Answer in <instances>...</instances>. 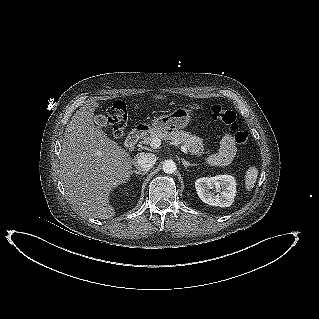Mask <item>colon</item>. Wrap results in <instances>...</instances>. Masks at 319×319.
Masks as SVG:
<instances>
[{"label": "colon", "mask_w": 319, "mask_h": 319, "mask_svg": "<svg viewBox=\"0 0 319 319\" xmlns=\"http://www.w3.org/2000/svg\"><path fill=\"white\" fill-rule=\"evenodd\" d=\"M208 115L229 127L234 133V141L240 147L248 149L250 140L247 131L240 130L234 111L221 107L220 105H212L208 109ZM108 123L112 134L120 137L127 126V107L124 101L117 100L107 108Z\"/></svg>", "instance_id": "5ec220e1"}]
</instances>
